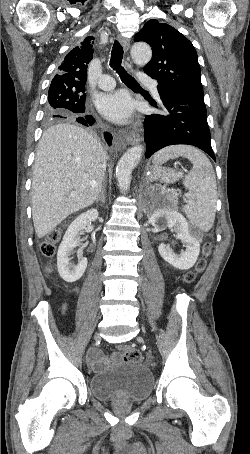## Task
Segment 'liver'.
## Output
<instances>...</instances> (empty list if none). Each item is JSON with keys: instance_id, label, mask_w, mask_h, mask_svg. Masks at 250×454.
<instances>
[{"instance_id": "6515ba94", "label": "liver", "mask_w": 250, "mask_h": 454, "mask_svg": "<svg viewBox=\"0 0 250 454\" xmlns=\"http://www.w3.org/2000/svg\"><path fill=\"white\" fill-rule=\"evenodd\" d=\"M107 156L85 129L69 123L49 127L36 152L32 176V217L38 238L98 198Z\"/></svg>"}]
</instances>
